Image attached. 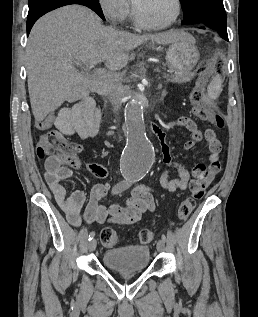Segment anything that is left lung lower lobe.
<instances>
[{"label": "left lung lower lobe", "mask_w": 258, "mask_h": 317, "mask_svg": "<svg viewBox=\"0 0 258 317\" xmlns=\"http://www.w3.org/2000/svg\"><path fill=\"white\" fill-rule=\"evenodd\" d=\"M194 25L199 27V28L208 27V28L214 30L215 32H217L223 39L228 40L226 26H222L213 20H210V19L201 20Z\"/></svg>", "instance_id": "0a47b994"}]
</instances>
